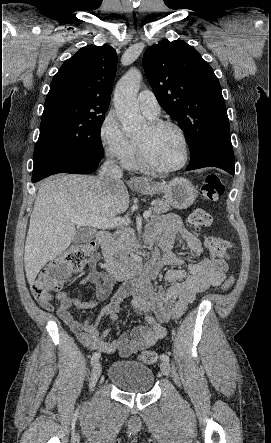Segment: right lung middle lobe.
Instances as JSON below:
<instances>
[{
  "label": "right lung middle lobe",
  "mask_w": 271,
  "mask_h": 443,
  "mask_svg": "<svg viewBox=\"0 0 271 443\" xmlns=\"http://www.w3.org/2000/svg\"><path fill=\"white\" fill-rule=\"evenodd\" d=\"M106 111L72 101L45 104L34 161L51 150L96 151L103 157L100 128Z\"/></svg>",
  "instance_id": "obj_1"
}]
</instances>
